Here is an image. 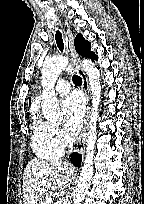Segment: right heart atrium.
Returning a JSON list of instances; mask_svg holds the SVG:
<instances>
[{
  "label": "right heart atrium",
  "mask_w": 144,
  "mask_h": 204,
  "mask_svg": "<svg viewBox=\"0 0 144 204\" xmlns=\"http://www.w3.org/2000/svg\"><path fill=\"white\" fill-rule=\"evenodd\" d=\"M53 136L56 142L63 148L66 146L68 140L64 132L58 128V127H53Z\"/></svg>",
  "instance_id": "d8ad5b80"
}]
</instances>
